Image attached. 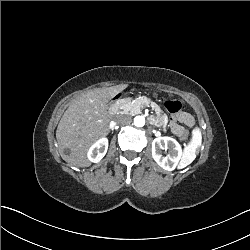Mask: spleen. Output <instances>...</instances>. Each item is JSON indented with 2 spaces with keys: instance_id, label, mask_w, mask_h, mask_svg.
<instances>
[{
  "instance_id": "3e777b00",
  "label": "spleen",
  "mask_w": 250,
  "mask_h": 250,
  "mask_svg": "<svg viewBox=\"0 0 250 250\" xmlns=\"http://www.w3.org/2000/svg\"><path fill=\"white\" fill-rule=\"evenodd\" d=\"M187 165V163H184V166H186Z\"/></svg>"
}]
</instances>
